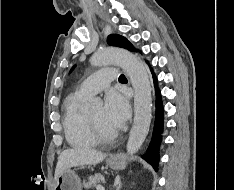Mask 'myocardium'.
Wrapping results in <instances>:
<instances>
[{
	"label": "myocardium",
	"instance_id": "obj_1",
	"mask_svg": "<svg viewBox=\"0 0 234 190\" xmlns=\"http://www.w3.org/2000/svg\"><path fill=\"white\" fill-rule=\"evenodd\" d=\"M87 121L97 141L109 142L114 140L118 136V132L116 130L105 131L104 129H102L100 125L90 116V114H87Z\"/></svg>",
	"mask_w": 234,
	"mask_h": 190
}]
</instances>
